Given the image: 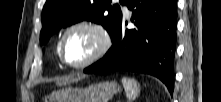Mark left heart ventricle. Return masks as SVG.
Segmentation results:
<instances>
[{
  "label": "left heart ventricle",
  "mask_w": 221,
  "mask_h": 102,
  "mask_svg": "<svg viewBox=\"0 0 221 102\" xmlns=\"http://www.w3.org/2000/svg\"><path fill=\"white\" fill-rule=\"evenodd\" d=\"M97 41L88 30L71 32L64 45V55L69 63L77 64L87 59L95 50Z\"/></svg>",
  "instance_id": "b2bd125f"
}]
</instances>
